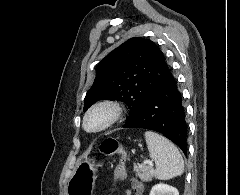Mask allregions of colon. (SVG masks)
Listing matches in <instances>:
<instances>
[{
	"instance_id": "obj_1",
	"label": "colon",
	"mask_w": 240,
	"mask_h": 195,
	"mask_svg": "<svg viewBox=\"0 0 240 195\" xmlns=\"http://www.w3.org/2000/svg\"><path fill=\"white\" fill-rule=\"evenodd\" d=\"M102 152L106 155L117 153L120 157V160L113 171L114 185L112 186V190L117 192L119 190L118 185L120 184V181L124 179L128 154L123 150L122 147H119L118 142L113 139H108L103 143Z\"/></svg>"
}]
</instances>
